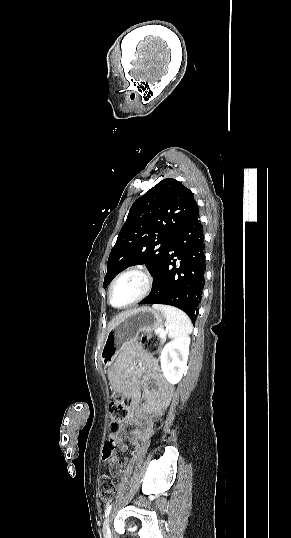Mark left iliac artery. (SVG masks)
I'll return each instance as SVG.
<instances>
[{
	"label": "left iliac artery",
	"mask_w": 291,
	"mask_h": 538,
	"mask_svg": "<svg viewBox=\"0 0 291 538\" xmlns=\"http://www.w3.org/2000/svg\"><path fill=\"white\" fill-rule=\"evenodd\" d=\"M111 508H112V504L109 505V506L107 507V509L105 510V518H107L108 515L110 514Z\"/></svg>",
	"instance_id": "obj_1"
}]
</instances>
